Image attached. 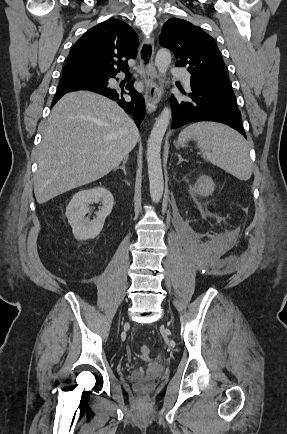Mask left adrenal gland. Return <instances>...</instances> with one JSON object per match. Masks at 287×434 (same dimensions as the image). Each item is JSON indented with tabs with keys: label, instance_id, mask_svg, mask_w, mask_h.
<instances>
[{
	"label": "left adrenal gland",
	"instance_id": "obj_1",
	"mask_svg": "<svg viewBox=\"0 0 287 434\" xmlns=\"http://www.w3.org/2000/svg\"><path fill=\"white\" fill-rule=\"evenodd\" d=\"M178 158H179L178 164H180L182 161H186L182 158V156L180 154H178Z\"/></svg>",
	"mask_w": 287,
	"mask_h": 434
}]
</instances>
